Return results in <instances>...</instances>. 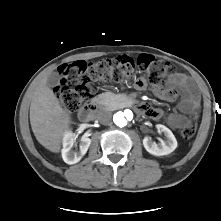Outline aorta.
<instances>
[{"label": "aorta", "instance_id": "obj_1", "mask_svg": "<svg viewBox=\"0 0 221 221\" xmlns=\"http://www.w3.org/2000/svg\"><path fill=\"white\" fill-rule=\"evenodd\" d=\"M133 116V112L130 109H126L123 112H117L113 116V121L118 127H124L133 119Z\"/></svg>", "mask_w": 221, "mask_h": 221}]
</instances>
